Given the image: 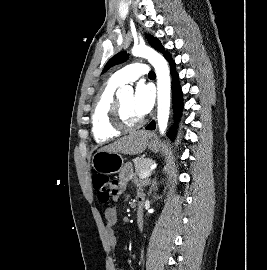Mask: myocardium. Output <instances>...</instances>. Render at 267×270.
<instances>
[{
  "instance_id": "myocardium-1",
  "label": "myocardium",
  "mask_w": 267,
  "mask_h": 270,
  "mask_svg": "<svg viewBox=\"0 0 267 270\" xmlns=\"http://www.w3.org/2000/svg\"><path fill=\"white\" fill-rule=\"evenodd\" d=\"M110 122L115 129L121 132H127L141 127L144 124V119L141 118L139 121L135 123L127 122L123 115L120 100L115 99L111 110Z\"/></svg>"
}]
</instances>
